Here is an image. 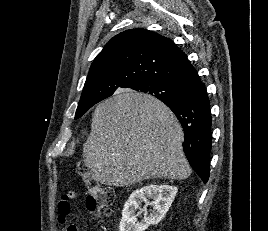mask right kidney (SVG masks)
Here are the masks:
<instances>
[{
	"label": "right kidney",
	"instance_id": "ca27d5eb",
	"mask_svg": "<svg viewBox=\"0 0 268 231\" xmlns=\"http://www.w3.org/2000/svg\"><path fill=\"white\" fill-rule=\"evenodd\" d=\"M176 193L177 187L168 184H150L135 190L124 205L119 230L144 231L150 225L158 224L171 207ZM148 199H153V201L149 202ZM142 202H145L146 206L151 205L153 210L149 215L145 212L143 220L137 222L135 212L140 209L139 205Z\"/></svg>",
	"mask_w": 268,
	"mask_h": 231
}]
</instances>
